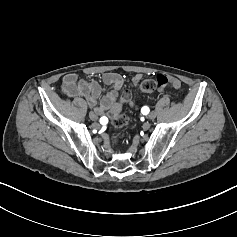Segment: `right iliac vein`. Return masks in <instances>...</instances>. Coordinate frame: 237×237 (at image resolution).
Listing matches in <instances>:
<instances>
[{"label":"right iliac vein","instance_id":"obj_1","mask_svg":"<svg viewBox=\"0 0 237 237\" xmlns=\"http://www.w3.org/2000/svg\"><path fill=\"white\" fill-rule=\"evenodd\" d=\"M89 117L91 120H97L98 116L95 112H90Z\"/></svg>","mask_w":237,"mask_h":237}]
</instances>
